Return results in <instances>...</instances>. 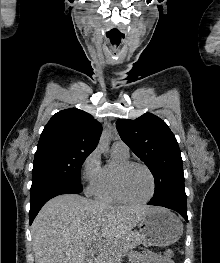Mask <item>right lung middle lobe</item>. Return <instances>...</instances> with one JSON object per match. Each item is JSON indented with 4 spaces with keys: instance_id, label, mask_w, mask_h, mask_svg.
I'll return each instance as SVG.
<instances>
[{
    "instance_id": "dd1d6c3e",
    "label": "right lung middle lobe",
    "mask_w": 220,
    "mask_h": 263,
    "mask_svg": "<svg viewBox=\"0 0 220 263\" xmlns=\"http://www.w3.org/2000/svg\"><path fill=\"white\" fill-rule=\"evenodd\" d=\"M91 152L65 148L36 152L32 182L41 179H58L80 184L82 164Z\"/></svg>"
}]
</instances>
